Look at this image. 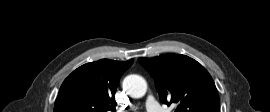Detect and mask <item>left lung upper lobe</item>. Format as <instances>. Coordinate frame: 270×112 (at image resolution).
Returning <instances> with one entry per match:
<instances>
[{"mask_svg": "<svg viewBox=\"0 0 270 112\" xmlns=\"http://www.w3.org/2000/svg\"><path fill=\"white\" fill-rule=\"evenodd\" d=\"M139 62L154 78L161 102L175 104V112H220L214 81L194 59L166 54Z\"/></svg>", "mask_w": 270, "mask_h": 112, "instance_id": "obj_1", "label": "left lung upper lobe"}]
</instances>
